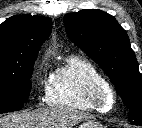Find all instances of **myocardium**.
<instances>
[{
    "label": "myocardium",
    "instance_id": "1",
    "mask_svg": "<svg viewBox=\"0 0 142 128\" xmlns=\"http://www.w3.org/2000/svg\"><path fill=\"white\" fill-rule=\"evenodd\" d=\"M87 100L97 111L108 112L114 107L116 98L111 86L95 82L88 89Z\"/></svg>",
    "mask_w": 142,
    "mask_h": 128
}]
</instances>
